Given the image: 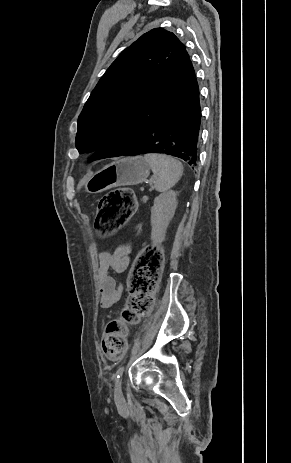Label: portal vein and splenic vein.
<instances>
[{
    "label": "portal vein and splenic vein",
    "instance_id": "18ae733b",
    "mask_svg": "<svg viewBox=\"0 0 291 463\" xmlns=\"http://www.w3.org/2000/svg\"><path fill=\"white\" fill-rule=\"evenodd\" d=\"M153 181L150 182V185H152Z\"/></svg>",
    "mask_w": 291,
    "mask_h": 463
}]
</instances>
